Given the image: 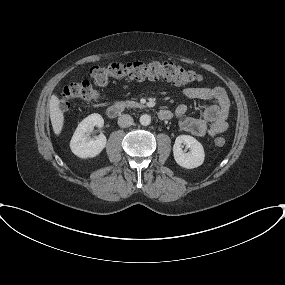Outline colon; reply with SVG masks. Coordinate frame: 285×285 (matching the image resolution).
Segmentation results:
<instances>
[{"mask_svg":"<svg viewBox=\"0 0 285 285\" xmlns=\"http://www.w3.org/2000/svg\"><path fill=\"white\" fill-rule=\"evenodd\" d=\"M90 78L98 88L105 86L110 80H166L177 85H187L201 82L203 77L173 62H132L111 63L106 66H94L90 70ZM98 91L87 81L73 82L64 87L60 104L68 109L73 101H94L98 98ZM217 147L226 144L224 137L214 140Z\"/></svg>","mask_w":285,"mask_h":285,"instance_id":"5ec220e1","label":"colon"}]
</instances>
